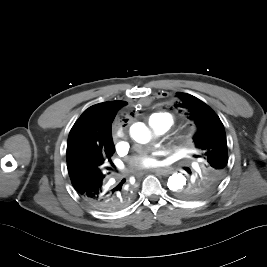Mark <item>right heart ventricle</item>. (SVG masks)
<instances>
[{"label": "right heart ventricle", "mask_w": 267, "mask_h": 267, "mask_svg": "<svg viewBox=\"0 0 267 267\" xmlns=\"http://www.w3.org/2000/svg\"><path fill=\"white\" fill-rule=\"evenodd\" d=\"M162 117H167L170 119V122L172 123V117L167 114V113H156V114H153L150 118H149V122L152 121L153 119H159V118H162Z\"/></svg>", "instance_id": "right-heart-ventricle-1"}]
</instances>
